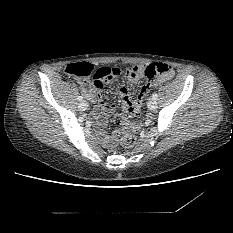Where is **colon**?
Wrapping results in <instances>:
<instances>
[{"label": "colon", "mask_w": 233, "mask_h": 233, "mask_svg": "<svg viewBox=\"0 0 233 233\" xmlns=\"http://www.w3.org/2000/svg\"><path fill=\"white\" fill-rule=\"evenodd\" d=\"M115 71L118 74L121 70L134 78L144 77L147 80H152L156 76H165L166 78L171 76V67L165 63H152L146 67H141L139 65H129L125 67H101L95 68V66L87 61L77 62L69 64L64 68V73L69 76H76L79 78L87 79L92 77L94 81L104 78L106 75ZM125 110L128 116L137 117L139 115V108L132 105L126 104ZM114 122L116 124L124 123V117L121 114H117L114 117ZM138 128L137 124L127 125L124 132L115 131L114 137L112 139V144H117L121 148H131L135 143L134 131Z\"/></svg>", "instance_id": "1"}]
</instances>
